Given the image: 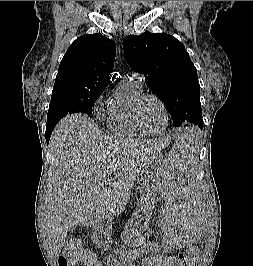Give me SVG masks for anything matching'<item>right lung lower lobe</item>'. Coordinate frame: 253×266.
Wrapping results in <instances>:
<instances>
[{"instance_id":"right-lung-lower-lobe-1","label":"right lung lower lobe","mask_w":253,"mask_h":266,"mask_svg":"<svg viewBox=\"0 0 253 266\" xmlns=\"http://www.w3.org/2000/svg\"><path fill=\"white\" fill-rule=\"evenodd\" d=\"M57 123H58V122L47 123V124H46V133H45V135H46V141H47V143H49L50 136H51L52 131H53V129H54V127L56 126Z\"/></svg>"}]
</instances>
